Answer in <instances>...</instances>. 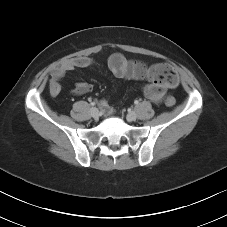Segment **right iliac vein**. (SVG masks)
I'll use <instances>...</instances> for the list:
<instances>
[{"instance_id": "obj_1", "label": "right iliac vein", "mask_w": 227, "mask_h": 227, "mask_svg": "<svg viewBox=\"0 0 227 227\" xmlns=\"http://www.w3.org/2000/svg\"><path fill=\"white\" fill-rule=\"evenodd\" d=\"M91 116L94 118V119H97L99 117V111L97 108L93 107L91 108Z\"/></svg>"}]
</instances>
